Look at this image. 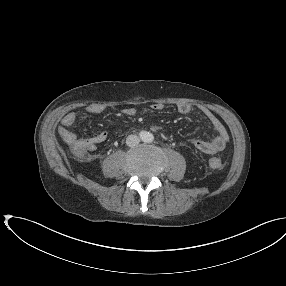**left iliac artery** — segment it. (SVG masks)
Here are the masks:
<instances>
[{"instance_id":"1","label":"left iliac artery","mask_w":286,"mask_h":286,"mask_svg":"<svg viewBox=\"0 0 286 286\" xmlns=\"http://www.w3.org/2000/svg\"><path fill=\"white\" fill-rule=\"evenodd\" d=\"M153 138H154L153 135L149 134L148 137H147V141L151 142L153 140Z\"/></svg>"}]
</instances>
